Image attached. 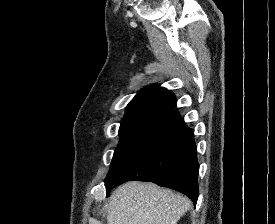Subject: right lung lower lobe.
<instances>
[{
    "mask_svg": "<svg viewBox=\"0 0 275 224\" xmlns=\"http://www.w3.org/2000/svg\"><path fill=\"white\" fill-rule=\"evenodd\" d=\"M196 144L193 129L177 109L158 121L112 178L105 181L107 194L127 181H147L198 199Z\"/></svg>",
    "mask_w": 275,
    "mask_h": 224,
    "instance_id": "98d812e1",
    "label": "right lung lower lobe"
}]
</instances>
